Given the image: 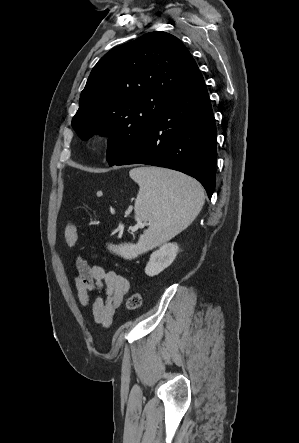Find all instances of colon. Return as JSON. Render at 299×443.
I'll use <instances>...</instances> for the list:
<instances>
[{"instance_id": "1", "label": "colon", "mask_w": 299, "mask_h": 443, "mask_svg": "<svg viewBox=\"0 0 299 443\" xmlns=\"http://www.w3.org/2000/svg\"><path fill=\"white\" fill-rule=\"evenodd\" d=\"M64 230H65V239L68 246L72 248L76 247L78 242V235H77L76 225L72 219H68L65 221ZM141 303H142L141 295L139 293H133L127 299L126 306L128 310L135 311L140 308Z\"/></svg>"}]
</instances>
